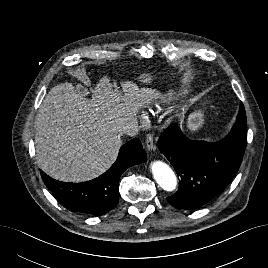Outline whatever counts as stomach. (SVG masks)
<instances>
[{"mask_svg":"<svg viewBox=\"0 0 268 268\" xmlns=\"http://www.w3.org/2000/svg\"><path fill=\"white\" fill-rule=\"evenodd\" d=\"M137 80L142 84H149L152 80V77L149 74H141ZM203 120L202 111H194L187 118V127L189 130L195 131L201 127Z\"/></svg>","mask_w":268,"mask_h":268,"instance_id":"1","label":"stomach"}]
</instances>
